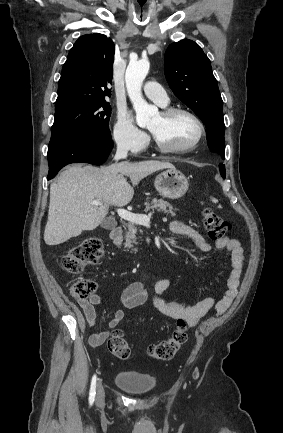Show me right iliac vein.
Listing matches in <instances>:
<instances>
[{"label":"right iliac vein","instance_id":"63e3f726","mask_svg":"<svg viewBox=\"0 0 283 433\" xmlns=\"http://www.w3.org/2000/svg\"><path fill=\"white\" fill-rule=\"evenodd\" d=\"M105 399L104 388L101 382L97 384L96 404L102 405Z\"/></svg>","mask_w":283,"mask_h":433}]
</instances>
